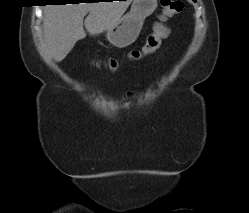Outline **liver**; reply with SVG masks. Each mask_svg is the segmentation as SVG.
<instances>
[{
  "instance_id": "1",
  "label": "liver",
  "mask_w": 249,
  "mask_h": 213,
  "mask_svg": "<svg viewBox=\"0 0 249 213\" xmlns=\"http://www.w3.org/2000/svg\"><path fill=\"white\" fill-rule=\"evenodd\" d=\"M132 0L47 5L44 8V45L56 62L62 61L77 41L113 27ZM88 14L84 21V17ZM84 22V25H83Z\"/></svg>"
}]
</instances>
